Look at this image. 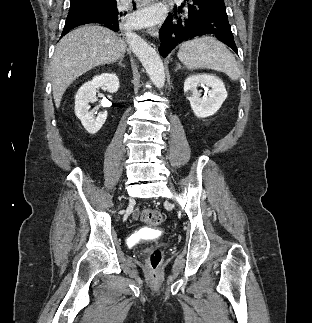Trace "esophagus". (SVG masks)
<instances>
[{
  "label": "esophagus",
  "instance_id": "esophagus-1",
  "mask_svg": "<svg viewBox=\"0 0 312 323\" xmlns=\"http://www.w3.org/2000/svg\"><path fill=\"white\" fill-rule=\"evenodd\" d=\"M136 2H137V8H143L151 5L154 2V0H136ZM148 33L155 37L158 36L157 27L149 28Z\"/></svg>",
  "mask_w": 312,
  "mask_h": 323
}]
</instances>
